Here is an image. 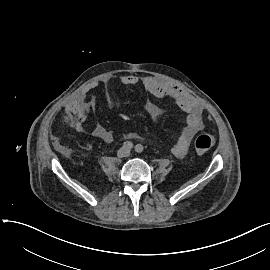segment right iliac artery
<instances>
[{
  "label": "right iliac artery",
  "instance_id": "82829eb1",
  "mask_svg": "<svg viewBox=\"0 0 270 270\" xmlns=\"http://www.w3.org/2000/svg\"><path fill=\"white\" fill-rule=\"evenodd\" d=\"M123 147L125 149H132L133 148V143L130 142V141H126V142L123 143Z\"/></svg>",
  "mask_w": 270,
  "mask_h": 270
}]
</instances>
